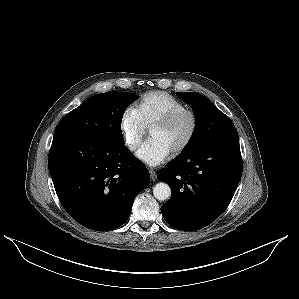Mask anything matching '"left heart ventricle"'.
Returning a JSON list of instances; mask_svg holds the SVG:
<instances>
[{"label": "left heart ventricle", "mask_w": 299, "mask_h": 299, "mask_svg": "<svg viewBox=\"0 0 299 299\" xmlns=\"http://www.w3.org/2000/svg\"><path fill=\"white\" fill-rule=\"evenodd\" d=\"M190 126V120L188 118H184L170 128L152 129L149 136L151 139L160 140L170 150V152H172L184 141L189 133Z\"/></svg>", "instance_id": "1"}]
</instances>
